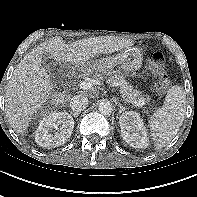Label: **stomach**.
Instances as JSON below:
<instances>
[{
    "label": "stomach",
    "mask_w": 197,
    "mask_h": 197,
    "mask_svg": "<svg viewBox=\"0 0 197 197\" xmlns=\"http://www.w3.org/2000/svg\"><path fill=\"white\" fill-rule=\"evenodd\" d=\"M143 54L138 48H126L117 55L91 60L81 67L85 71H97L107 75L134 72L142 67Z\"/></svg>",
    "instance_id": "1"
}]
</instances>
